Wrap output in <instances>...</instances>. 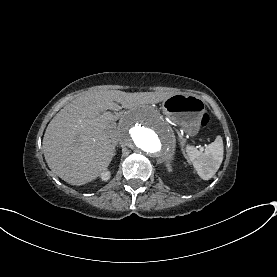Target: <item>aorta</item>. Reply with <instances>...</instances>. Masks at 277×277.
<instances>
[{
  "label": "aorta",
  "instance_id": "1",
  "mask_svg": "<svg viewBox=\"0 0 277 277\" xmlns=\"http://www.w3.org/2000/svg\"><path fill=\"white\" fill-rule=\"evenodd\" d=\"M122 144L137 155L171 163L176 140L170 125L155 111L137 109L122 121Z\"/></svg>",
  "mask_w": 277,
  "mask_h": 277
}]
</instances>
